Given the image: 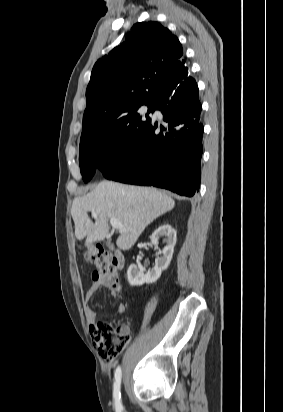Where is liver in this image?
I'll return each mask as SVG.
<instances>
[{"label": "liver", "mask_w": 283, "mask_h": 412, "mask_svg": "<svg viewBox=\"0 0 283 412\" xmlns=\"http://www.w3.org/2000/svg\"><path fill=\"white\" fill-rule=\"evenodd\" d=\"M174 206L175 201L157 189L102 181L91 192L73 200L75 237H86V246L102 241L109 233L108 220L115 218L124 227L116 244L129 250L150 223ZM89 211L97 213L95 223L89 218Z\"/></svg>", "instance_id": "obj_1"}]
</instances>
